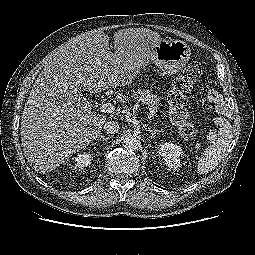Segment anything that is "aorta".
I'll return each instance as SVG.
<instances>
[{
    "label": "aorta",
    "mask_w": 255,
    "mask_h": 255,
    "mask_svg": "<svg viewBox=\"0 0 255 255\" xmlns=\"http://www.w3.org/2000/svg\"><path fill=\"white\" fill-rule=\"evenodd\" d=\"M122 145H123L124 149H126L128 151H135L138 149V147L140 145V140L135 135H127L123 139Z\"/></svg>",
    "instance_id": "aorta-1"
}]
</instances>
